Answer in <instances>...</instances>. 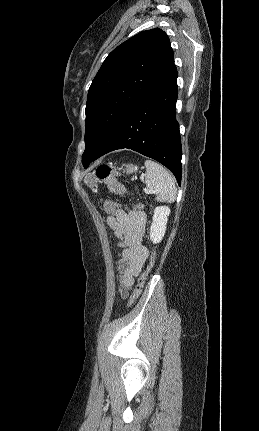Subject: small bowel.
<instances>
[{"label":"small bowel","instance_id":"1","mask_svg":"<svg viewBox=\"0 0 259 431\" xmlns=\"http://www.w3.org/2000/svg\"><path fill=\"white\" fill-rule=\"evenodd\" d=\"M123 211L124 217L108 216L107 223L113 230L117 238L116 246L120 249L117 261L119 292L125 298L149 253L144 245L146 214L136 208H125Z\"/></svg>","mask_w":259,"mask_h":431}]
</instances>
